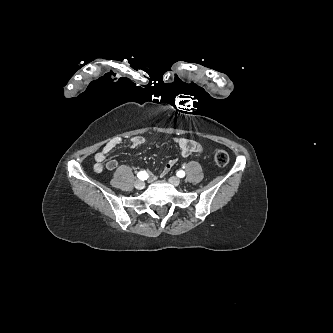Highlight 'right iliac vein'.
Returning a JSON list of instances; mask_svg holds the SVG:
<instances>
[{
    "instance_id": "right-iliac-vein-1",
    "label": "right iliac vein",
    "mask_w": 333,
    "mask_h": 333,
    "mask_svg": "<svg viewBox=\"0 0 333 333\" xmlns=\"http://www.w3.org/2000/svg\"><path fill=\"white\" fill-rule=\"evenodd\" d=\"M134 186L137 188V189H143L145 187V183L142 181V180H136L134 182Z\"/></svg>"
}]
</instances>
